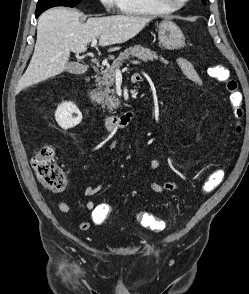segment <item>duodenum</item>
<instances>
[{"instance_id":"obj_1","label":"duodenum","mask_w":249,"mask_h":294,"mask_svg":"<svg viewBox=\"0 0 249 294\" xmlns=\"http://www.w3.org/2000/svg\"><path fill=\"white\" fill-rule=\"evenodd\" d=\"M85 86H86V96L87 99L90 101L92 105L97 106L99 104V101L95 94L92 92V90L89 87V81L90 78L88 76L84 77L83 79ZM134 82H141L142 76L140 74H134L133 76ZM136 112L134 111H128L123 115H108L105 117V127L108 131H118L126 126H128L135 118Z\"/></svg>"}]
</instances>
